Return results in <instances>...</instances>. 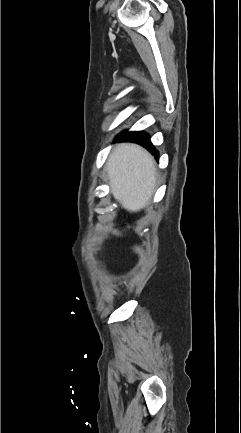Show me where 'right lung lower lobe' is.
<instances>
[{
	"instance_id": "right-lung-lower-lobe-1",
	"label": "right lung lower lobe",
	"mask_w": 241,
	"mask_h": 433,
	"mask_svg": "<svg viewBox=\"0 0 241 433\" xmlns=\"http://www.w3.org/2000/svg\"><path fill=\"white\" fill-rule=\"evenodd\" d=\"M116 141H130L138 143L147 148L152 154L155 155L156 158H158V152L150 142V136L144 131L124 132L116 139Z\"/></svg>"
}]
</instances>
